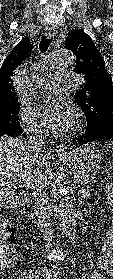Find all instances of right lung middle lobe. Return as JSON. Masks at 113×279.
<instances>
[{"mask_svg": "<svg viewBox=\"0 0 113 279\" xmlns=\"http://www.w3.org/2000/svg\"><path fill=\"white\" fill-rule=\"evenodd\" d=\"M19 103L16 102L0 109V134H5L12 130L21 129L19 118Z\"/></svg>", "mask_w": 113, "mask_h": 279, "instance_id": "1", "label": "right lung middle lobe"}]
</instances>
